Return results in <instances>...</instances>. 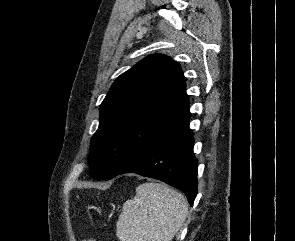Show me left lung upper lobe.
<instances>
[{
	"mask_svg": "<svg viewBox=\"0 0 295 241\" xmlns=\"http://www.w3.org/2000/svg\"><path fill=\"white\" fill-rule=\"evenodd\" d=\"M186 80L174 60L153 54L121 74L100 105L88 157L92 173L109 180L162 133L189 116Z\"/></svg>",
	"mask_w": 295,
	"mask_h": 241,
	"instance_id": "obj_1",
	"label": "left lung upper lobe"
}]
</instances>
